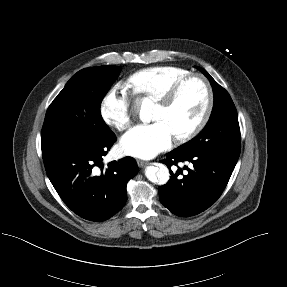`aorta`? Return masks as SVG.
I'll use <instances>...</instances> for the list:
<instances>
[{
	"instance_id": "aorta-1",
	"label": "aorta",
	"mask_w": 287,
	"mask_h": 287,
	"mask_svg": "<svg viewBox=\"0 0 287 287\" xmlns=\"http://www.w3.org/2000/svg\"><path fill=\"white\" fill-rule=\"evenodd\" d=\"M146 109H148L146 106H142L141 112L143 113ZM145 176L152 183L164 185L169 181L170 173L165 165L158 164L156 166H148L145 169Z\"/></svg>"
}]
</instances>
